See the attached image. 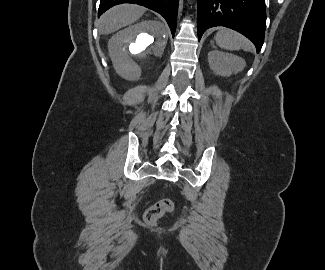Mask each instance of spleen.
Here are the masks:
<instances>
[{
  "mask_svg": "<svg viewBox=\"0 0 325 270\" xmlns=\"http://www.w3.org/2000/svg\"><path fill=\"white\" fill-rule=\"evenodd\" d=\"M217 45L226 50L252 51L251 43L241 34L226 28H220L215 35Z\"/></svg>",
  "mask_w": 325,
  "mask_h": 270,
  "instance_id": "1",
  "label": "spleen"
}]
</instances>
